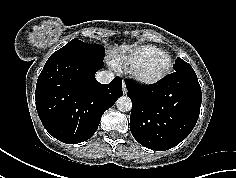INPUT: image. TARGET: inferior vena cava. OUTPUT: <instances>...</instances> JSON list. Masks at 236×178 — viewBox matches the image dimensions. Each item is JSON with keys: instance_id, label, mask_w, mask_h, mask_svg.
<instances>
[{"instance_id": "1", "label": "inferior vena cava", "mask_w": 236, "mask_h": 178, "mask_svg": "<svg viewBox=\"0 0 236 178\" xmlns=\"http://www.w3.org/2000/svg\"><path fill=\"white\" fill-rule=\"evenodd\" d=\"M114 79V73L109 71H100L96 74V80L102 84H108Z\"/></svg>"}]
</instances>
